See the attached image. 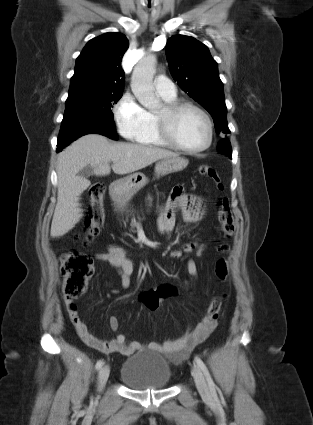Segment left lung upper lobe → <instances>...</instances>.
Instances as JSON below:
<instances>
[{
  "mask_svg": "<svg viewBox=\"0 0 313 425\" xmlns=\"http://www.w3.org/2000/svg\"><path fill=\"white\" fill-rule=\"evenodd\" d=\"M166 56L172 77L182 90L211 113L216 132L230 133L223 83L208 47L193 37L175 35L167 41ZM217 148L221 154L231 157L227 139L219 142Z\"/></svg>",
  "mask_w": 313,
  "mask_h": 425,
  "instance_id": "obj_1",
  "label": "left lung upper lobe"
}]
</instances>
